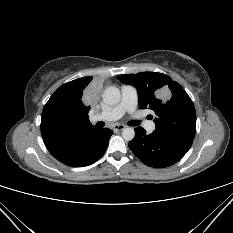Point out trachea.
<instances>
[{
    "mask_svg": "<svg viewBox=\"0 0 233 233\" xmlns=\"http://www.w3.org/2000/svg\"><path fill=\"white\" fill-rule=\"evenodd\" d=\"M139 124H140V121H137V120H133V121L128 122V125H130V126H137Z\"/></svg>",
    "mask_w": 233,
    "mask_h": 233,
    "instance_id": "obj_1",
    "label": "trachea"
}]
</instances>
